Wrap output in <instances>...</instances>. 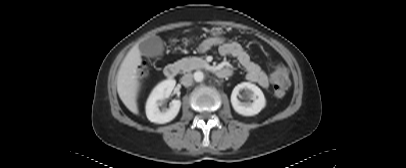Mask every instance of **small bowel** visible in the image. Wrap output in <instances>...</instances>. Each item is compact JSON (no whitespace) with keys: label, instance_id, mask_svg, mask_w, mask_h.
Listing matches in <instances>:
<instances>
[{"label":"small bowel","instance_id":"c3829d8e","mask_svg":"<svg viewBox=\"0 0 406 168\" xmlns=\"http://www.w3.org/2000/svg\"><path fill=\"white\" fill-rule=\"evenodd\" d=\"M212 46H218L219 53L222 56L230 55L235 57L246 71L247 80L257 83L262 88L269 87V79L265 71L251 59L239 43L214 37L205 40L200 46V51L206 52Z\"/></svg>","mask_w":406,"mask_h":168}]
</instances>
